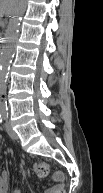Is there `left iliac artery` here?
<instances>
[{
  "mask_svg": "<svg viewBox=\"0 0 103 193\" xmlns=\"http://www.w3.org/2000/svg\"><path fill=\"white\" fill-rule=\"evenodd\" d=\"M1 116L3 117V119L7 120V118H8V113H3Z\"/></svg>",
  "mask_w": 103,
  "mask_h": 193,
  "instance_id": "left-iliac-artery-1",
  "label": "left iliac artery"
}]
</instances>
